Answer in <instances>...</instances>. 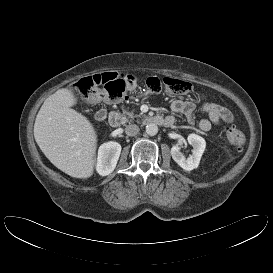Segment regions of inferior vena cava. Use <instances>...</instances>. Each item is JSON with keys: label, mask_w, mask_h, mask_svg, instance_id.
Wrapping results in <instances>:
<instances>
[{"label": "inferior vena cava", "mask_w": 273, "mask_h": 273, "mask_svg": "<svg viewBox=\"0 0 273 273\" xmlns=\"http://www.w3.org/2000/svg\"><path fill=\"white\" fill-rule=\"evenodd\" d=\"M139 130L140 129L136 124L127 125L125 128V132L129 136L137 135L139 133Z\"/></svg>", "instance_id": "obj_1"}]
</instances>
